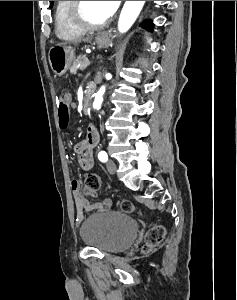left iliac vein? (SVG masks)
Listing matches in <instances>:
<instances>
[{
    "label": "left iliac vein",
    "instance_id": "4c4485c4",
    "mask_svg": "<svg viewBox=\"0 0 237 300\" xmlns=\"http://www.w3.org/2000/svg\"><path fill=\"white\" fill-rule=\"evenodd\" d=\"M116 169H117V166H116L115 162L113 160H108V162H107L108 172L113 175L116 173Z\"/></svg>",
    "mask_w": 237,
    "mask_h": 300
}]
</instances>
